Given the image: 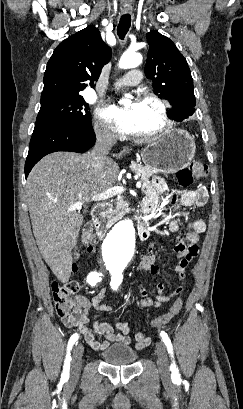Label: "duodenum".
<instances>
[{"instance_id":"obj_1","label":"duodenum","mask_w":243,"mask_h":409,"mask_svg":"<svg viewBox=\"0 0 243 409\" xmlns=\"http://www.w3.org/2000/svg\"><path fill=\"white\" fill-rule=\"evenodd\" d=\"M107 205L97 204L92 209V224L96 230L98 238H103L107 230L111 227L113 221L106 214ZM145 213H148L144 210ZM150 233L149 223L147 220H142L138 224V234L141 240L148 238Z\"/></svg>"}]
</instances>
